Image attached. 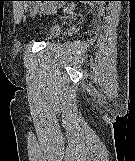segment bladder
Masks as SVG:
<instances>
[{"label": "bladder", "instance_id": "31cf9c89", "mask_svg": "<svg viewBox=\"0 0 135 161\" xmlns=\"http://www.w3.org/2000/svg\"><path fill=\"white\" fill-rule=\"evenodd\" d=\"M60 30H61V25L60 24L51 23L45 28V30L43 32V36L45 38L55 37L56 35L59 34Z\"/></svg>", "mask_w": 135, "mask_h": 161}]
</instances>
